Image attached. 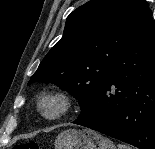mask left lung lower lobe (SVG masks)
Segmentation results:
<instances>
[{
	"label": "left lung lower lobe",
	"instance_id": "obj_1",
	"mask_svg": "<svg viewBox=\"0 0 155 149\" xmlns=\"http://www.w3.org/2000/svg\"><path fill=\"white\" fill-rule=\"evenodd\" d=\"M116 87L110 93L111 86ZM74 124L155 149V23L146 14Z\"/></svg>",
	"mask_w": 155,
	"mask_h": 149
}]
</instances>
